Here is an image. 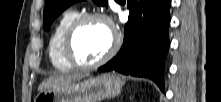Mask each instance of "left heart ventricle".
Segmentation results:
<instances>
[{
  "instance_id": "1",
  "label": "left heart ventricle",
  "mask_w": 221,
  "mask_h": 102,
  "mask_svg": "<svg viewBox=\"0 0 221 102\" xmlns=\"http://www.w3.org/2000/svg\"><path fill=\"white\" fill-rule=\"evenodd\" d=\"M112 35L108 26L97 20L84 22L76 31L72 51L82 63H92L100 59L109 49Z\"/></svg>"
}]
</instances>
